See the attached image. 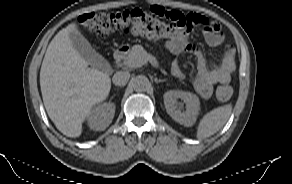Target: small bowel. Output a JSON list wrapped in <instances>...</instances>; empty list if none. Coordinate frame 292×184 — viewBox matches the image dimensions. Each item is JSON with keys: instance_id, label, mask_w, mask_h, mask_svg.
Wrapping results in <instances>:
<instances>
[{"instance_id": "c3829d8e", "label": "small bowel", "mask_w": 292, "mask_h": 184, "mask_svg": "<svg viewBox=\"0 0 292 184\" xmlns=\"http://www.w3.org/2000/svg\"><path fill=\"white\" fill-rule=\"evenodd\" d=\"M193 19V26L202 28L204 38L208 45L218 46L223 42V34L219 24L201 14H189ZM187 31L174 33L167 41L166 48L175 56L172 63V72L178 77H184L178 58L184 53H191L196 58V74L191 81L195 89L205 98L213 93L216 84H227L231 81L236 69L235 51L229 46L223 53L220 63L207 61L202 50L188 43Z\"/></svg>"}]
</instances>
